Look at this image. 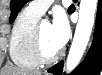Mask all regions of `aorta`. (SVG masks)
<instances>
[{"mask_svg":"<svg viewBox=\"0 0 102 75\" xmlns=\"http://www.w3.org/2000/svg\"><path fill=\"white\" fill-rule=\"evenodd\" d=\"M97 0H81L79 19L66 61V71L71 72L80 62L88 44L95 20Z\"/></svg>","mask_w":102,"mask_h":75,"instance_id":"1","label":"aorta"}]
</instances>
